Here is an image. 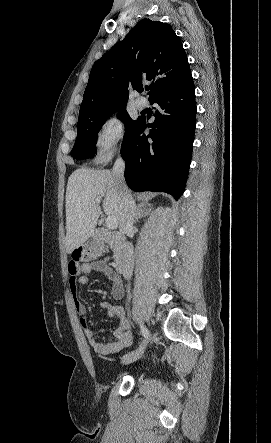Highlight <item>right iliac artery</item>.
Returning <instances> with one entry per match:
<instances>
[{
    "mask_svg": "<svg viewBox=\"0 0 271 443\" xmlns=\"http://www.w3.org/2000/svg\"><path fill=\"white\" fill-rule=\"evenodd\" d=\"M140 329H141V333H142V335H143L146 339H149V332H148V330L146 329V327H144V325H141V326H140Z\"/></svg>",
    "mask_w": 271,
    "mask_h": 443,
    "instance_id": "82829eb1",
    "label": "right iliac artery"
}]
</instances>
